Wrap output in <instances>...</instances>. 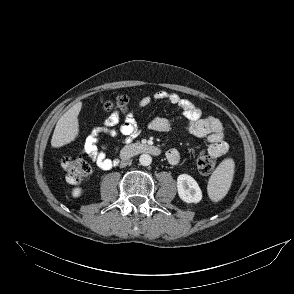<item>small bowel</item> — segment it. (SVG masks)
Segmentation results:
<instances>
[{
	"instance_id": "obj_1",
	"label": "small bowel",
	"mask_w": 294,
	"mask_h": 294,
	"mask_svg": "<svg viewBox=\"0 0 294 294\" xmlns=\"http://www.w3.org/2000/svg\"><path fill=\"white\" fill-rule=\"evenodd\" d=\"M166 101L178 106L186 118L185 129L197 137H204L209 142L208 152L215 158L225 155L229 150L226 142L225 129L222 123L211 114H203L201 109L191 101L180 97L178 94L168 91H158L151 96L140 99L138 107H145L154 102ZM119 115L112 113L101 126L93 128L83 145V153L92 159L103 170H109L118 163V159H110L106 156V146L100 145L103 135L115 137L117 134L125 136L127 143L139 136L141 129L133 112L126 115L124 122L117 128ZM148 128L155 132H171L174 129L172 122L163 117H154L148 124ZM169 164H180L181 155L177 149H170L166 153Z\"/></svg>"
}]
</instances>
